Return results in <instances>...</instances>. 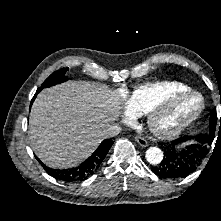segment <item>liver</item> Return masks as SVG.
<instances>
[{"instance_id":"1","label":"liver","mask_w":221,"mask_h":221,"mask_svg":"<svg viewBox=\"0 0 221 221\" xmlns=\"http://www.w3.org/2000/svg\"><path fill=\"white\" fill-rule=\"evenodd\" d=\"M120 104L105 84L69 81L45 89L30 113L31 146L50 167H74L102 142L101 133L118 118Z\"/></svg>"}]
</instances>
